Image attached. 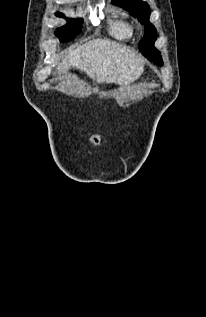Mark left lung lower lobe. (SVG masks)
Here are the masks:
<instances>
[{
    "instance_id": "obj_1",
    "label": "left lung lower lobe",
    "mask_w": 206,
    "mask_h": 317,
    "mask_svg": "<svg viewBox=\"0 0 206 317\" xmlns=\"http://www.w3.org/2000/svg\"><path fill=\"white\" fill-rule=\"evenodd\" d=\"M150 61H152V58L149 56V58H148Z\"/></svg>"
}]
</instances>
